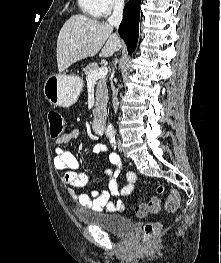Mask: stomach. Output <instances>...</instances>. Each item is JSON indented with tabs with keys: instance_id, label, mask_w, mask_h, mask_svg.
Listing matches in <instances>:
<instances>
[{
	"instance_id": "1",
	"label": "stomach",
	"mask_w": 221,
	"mask_h": 263,
	"mask_svg": "<svg viewBox=\"0 0 221 263\" xmlns=\"http://www.w3.org/2000/svg\"><path fill=\"white\" fill-rule=\"evenodd\" d=\"M83 80L77 75L53 74L44 84L45 98L55 106L68 108L78 99Z\"/></svg>"
}]
</instances>
